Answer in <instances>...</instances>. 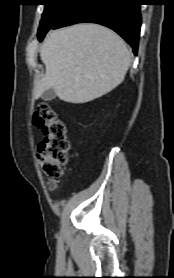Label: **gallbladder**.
Instances as JSON below:
<instances>
[{
  "label": "gallbladder",
  "mask_w": 174,
  "mask_h": 278,
  "mask_svg": "<svg viewBox=\"0 0 174 278\" xmlns=\"http://www.w3.org/2000/svg\"><path fill=\"white\" fill-rule=\"evenodd\" d=\"M44 101H52L56 98V93L53 88L44 91L41 95Z\"/></svg>",
  "instance_id": "bac80fb5"
}]
</instances>
